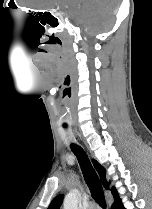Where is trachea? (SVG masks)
Returning a JSON list of instances; mask_svg holds the SVG:
<instances>
[{
    "label": "trachea",
    "mask_w": 152,
    "mask_h": 209,
    "mask_svg": "<svg viewBox=\"0 0 152 209\" xmlns=\"http://www.w3.org/2000/svg\"><path fill=\"white\" fill-rule=\"evenodd\" d=\"M72 151L77 156L84 179L90 189L93 199L103 208H106V201L100 180L93 169L86 153L78 145H71Z\"/></svg>",
    "instance_id": "trachea-1"
}]
</instances>
